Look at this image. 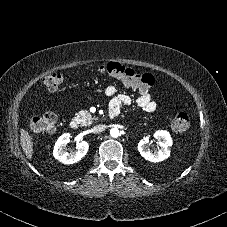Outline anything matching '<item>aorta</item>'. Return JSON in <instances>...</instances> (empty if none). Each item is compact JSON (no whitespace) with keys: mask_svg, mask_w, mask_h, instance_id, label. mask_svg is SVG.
<instances>
[{"mask_svg":"<svg viewBox=\"0 0 227 227\" xmlns=\"http://www.w3.org/2000/svg\"><path fill=\"white\" fill-rule=\"evenodd\" d=\"M110 135L113 138H117L120 135V132L117 128H113V129L110 130Z\"/></svg>","mask_w":227,"mask_h":227,"instance_id":"obj_1","label":"aorta"}]
</instances>
